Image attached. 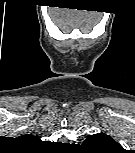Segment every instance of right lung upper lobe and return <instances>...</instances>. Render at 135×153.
I'll return each mask as SVG.
<instances>
[{
  "mask_svg": "<svg viewBox=\"0 0 135 153\" xmlns=\"http://www.w3.org/2000/svg\"><path fill=\"white\" fill-rule=\"evenodd\" d=\"M23 138L25 139H36V137H34L33 135H24Z\"/></svg>",
  "mask_w": 135,
  "mask_h": 153,
  "instance_id": "obj_1",
  "label": "right lung upper lobe"
}]
</instances>
